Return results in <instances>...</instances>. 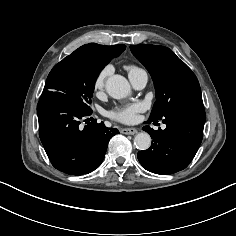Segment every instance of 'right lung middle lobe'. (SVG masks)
Masks as SVG:
<instances>
[{"label": "right lung middle lobe", "mask_w": 236, "mask_h": 236, "mask_svg": "<svg viewBox=\"0 0 236 236\" xmlns=\"http://www.w3.org/2000/svg\"><path fill=\"white\" fill-rule=\"evenodd\" d=\"M112 57L72 53L56 64L49 73L43 92L63 93L81 109L90 110L95 80Z\"/></svg>", "instance_id": "1"}]
</instances>
